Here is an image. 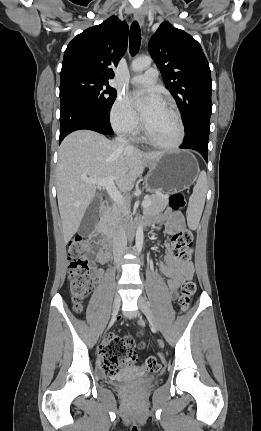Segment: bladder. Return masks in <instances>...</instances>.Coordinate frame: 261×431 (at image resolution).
Here are the masks:
<instances>
[{
	"mask_svg": "<svg viewBox=\"0 0 261 431\" xmlns=\"http://www.w3.org/2000/svg\"><path fill=\"white\" fill-rule=\"evenodd\" d=\"M117 386L120 388H140L146 389L152 387L156 380L154 377H139L133 369H126L116 376Z\"/></svg>",
	"mask_w": 261,
	"mask_h": 431,
	"instance_id": "bladder-1",
	"label": "bladder"
}]
</instances>
